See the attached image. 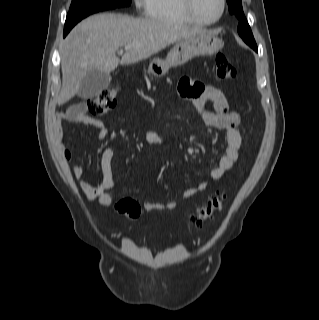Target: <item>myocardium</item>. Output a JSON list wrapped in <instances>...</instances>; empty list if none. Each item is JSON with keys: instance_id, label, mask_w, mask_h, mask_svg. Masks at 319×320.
<instances>
[{"instance_id": "f54148a6", "label": "myocardium", "mask_w": 319, "mask_h": 320, "mask_svg": "<svg viewBox=\"0 0 319 320\" xmlns=\"http://www.w3.org/2000/svg\"><path fill=\"white\" fill-rule=\"evenodd\" d=\"M183 2V6L185 9L186 14L188 15V17L196 24L199 25H214L217 24L224 16L225 11H226V0H220L221 2V8H220V13L218 15L217 18L213 19V20H204L202 18H200L196 11H195V6H194V0H182Z\"/></svg>"}]
</instances>
